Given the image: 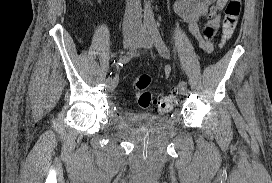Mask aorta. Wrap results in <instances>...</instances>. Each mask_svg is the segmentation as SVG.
Masks as SVG:
<instances>
[{"mask_svg": "<svg viewBox=\"0 0 272 183\" xmlns=\"http://www.w3.org/2000/svg\"><path fill=\"white\" fill-rule=\"evenodd\" d=\"M144 22L146 24H150L154 22V15H153V11L151 8V4L148 0H145V6H144Z\"/></svg>", "mask_w": 272, "mask_h": 183, "instance_id": "762f6f07", "label": "aorta"}]
</instances>
